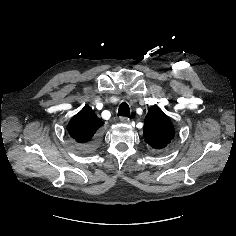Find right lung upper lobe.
Returning a JSON list of instances; mask_svg holds the SVG:
<instances>
[{
    "instance_id": "obj_1",
    "label": "right lung upper lobe",
    "mask_w": 236,
    "mask_h": 236,
    "mask_svg": "<svg viewBox=\"0 0 236 236\" xmlns=\"http://www.w3.org/2000/svg\"><path fill=\"white\" fill-rule=\"evenodd\" d=\"M104 122L96 116L90 106H85L68 124L70 136L78 143L90 141Z\"/></svg>"
}]
</instances>
